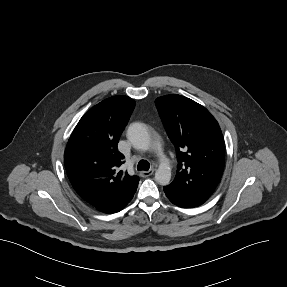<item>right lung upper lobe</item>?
<instances>
[{"label":"right lung upper lobe","instance_id":"obj_1","mask_svg":"<svg viewBox=\"0 0 287 287\" xmlns=\"http://www.w3.org/2000/svg\"><path fill=\"white\" fill-rule=\"evenodd\" d=\"M127 96H113L92 107L78 122L64 153L68 178L79 196L90 205L137 188V176L118 168L124 155L117 144L134 109Z\"/></svg>","mask_w":287,"mask_h":287}]
</instances>
